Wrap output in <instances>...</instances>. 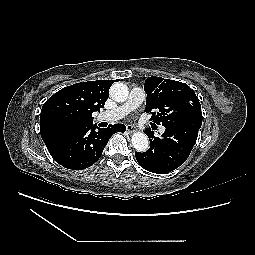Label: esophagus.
<instances>
[{"instance_id": "esophagus-1", "label": "esophagus", "mask_w": 255, "mask_h": 255, "mask_svg": "<svg viewBox=\"0 0 255 255\" xmlns=\"http://www.w3.org/2000/svg\"><path fill=\"white\" fill-rule=\"evenodd\" d=\"M126 129H127V132H128V133H132V132L135 131V126H134V125H131V124H128V125L126 126Z\"/></svg>"}]
</instances>
